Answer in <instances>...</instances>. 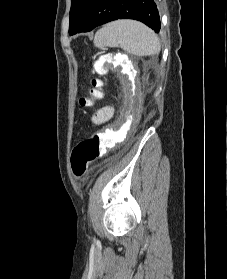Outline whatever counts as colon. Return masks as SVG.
<instances>
[{
	"label": "colon",
	"mask_w": 227,
	"mask_h": 279,
	"mask_svg": "<svg viewBox=\"0 0 227 279\" xmlns=\"http://www.w3.org/2000/svg\"><path fill=\"white\" fill-rule=\"evenodd\" d=\"M105 63L103 57L96 59L92 64L93 71L98 75H103L106 72ZM103 88V81L93 78L87 94L79 100L80 106L88 107L93 104L95 99H102L104 97ZM115 135L116 133L109 128L101 129L76 144L71 155L73 174L76 177H82L90 163L107 153L109 147L114 143Z\"/></svg>",
	"instance_id": "obj_1"
}]
</instances>
